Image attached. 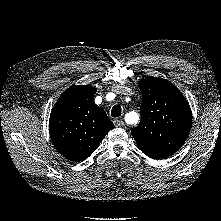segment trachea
Returning a JSON list of instances; mask_svg holds the SVG:
<instances>
[{"label":"trachea","mask_w":221,"mask_h":221,"mask_svg":"<svg viewBox=\"0 0 221 221\" xmlns=\"http://www.w3.org/2000/svg\"><path fill=\"white\" fill-rule=\"evenodd\" d=\"M121 112H122L121 106L114 105L112 107V109H111V116L112 117H120L121 116Z\"/></svg>","instance_id":"trachea-1"}]
</instances>
